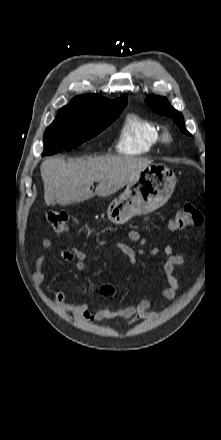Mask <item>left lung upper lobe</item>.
Listing matches in <instances>:
<instances>
[{
	"label": "left lung upper lobe",
	"mask_w": 221,
	"mask_h": 440,
	"mask_svg": "<svg viewBox=\"0 0 221 440\" xmlns=\"http://www.w3.org/2000/svg\"><path fill=\"white\" fill-rule=\"evenodd\" d=\"M147 102L158 114H163L172 118L182 133L191 135L184 126L182 114L169 105L166 98L149 96Z\"/></svg>",
	"instance_id": "1"
}]
</instances>
